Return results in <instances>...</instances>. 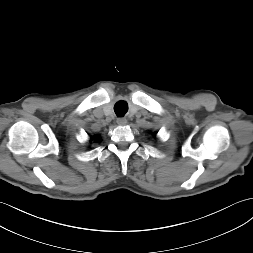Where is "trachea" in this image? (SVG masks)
I'll use <instances>...</instances> for the list:
<instances>
[{
  "label": "trachea",
  "instance_id": "obj_1",
  "mask_svg": "<svg viewBox=\"0 0 253 253\" xmlns=\"http://www.w3.org/2000/svg\"><path fill=\"white\" fill-rule=\"evenodd\" d=\"M117 116H123L128 111V104L125 101H119L114 106Z\"/></svg>",
  "mask_w": 253,
  "mask_h": 253
}]
</instances>
